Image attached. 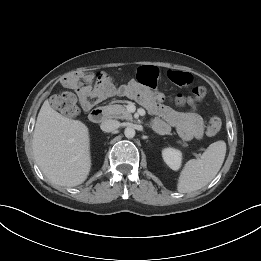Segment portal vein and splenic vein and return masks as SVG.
Listing matches in <instances>:
<instances>
[{"label": "portal vein and splenic vein", "mask_w": 261, "mask_h": 261, "mask_svg": "<svg viewBox=\"0 0 261 261\" xmlns=\"http://www.w3.org/2000/svg\"><path fill=\"white\" fill-rule=\"evenodd\" d=\"M194 156L199 157V155L197 153H194Z\"/></svg>", "instance_id": "1"}]
</instances>
